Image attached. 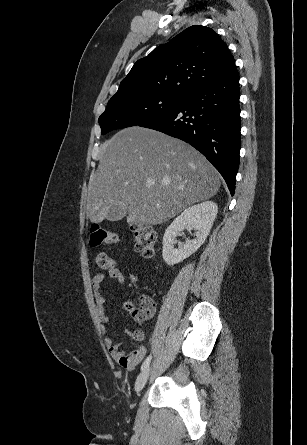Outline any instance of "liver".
Listing matches in <instances>:
<instances>
[{
	"mask_svg": "<svg viewBox=\"0 0 307 445\" xmlns=\"http://www.w3.org/2000/svg\"><path fill=\"white\" fill-rule=\"evenodd\" d=\"M219 186L216 168L196 148L152 128L129 126L100 144L99 164L88 184L87 216L102 223L128 214L133 225H161L214 196Z\"/></svg>",
	"mask_w": 307,
	"mask_h": 445,
	"instance_id": "6515ba94",
	"label": "liver"
}]
</instances>
